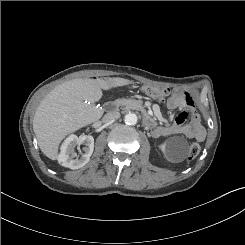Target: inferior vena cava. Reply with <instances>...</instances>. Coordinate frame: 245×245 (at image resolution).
<instances>
[{"label":"inferior vena cava","mask_w":245,"mask_h":245,"mask_svg":"<svg viewBox=\"0 0 245 245\" xmlns=\"http://www.w3.org/2000/svg\"><path fill=\"white\" fill-rule=\"evenodd\" d=\"M120 117V113L118 111H110L103 117V122L114 121Z\"/></svg>","instance_id":"inferior-vena-cava-1"}]
</instances>
